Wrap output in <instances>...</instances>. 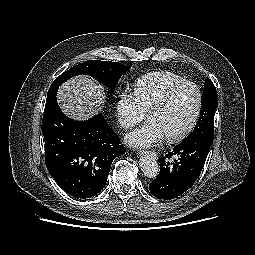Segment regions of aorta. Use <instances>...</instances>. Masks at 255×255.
<instances>
[{
    "label": "aorta",
    "instance_id": "obj_1",
    "mask_svg": "<svg viewBox=\"0 0 255 255\" xmlns=\"http://www.w3.org/2000/svg\"><path fill=\"white\" fill-rule=\"evenodd\" d=\"M139 166L143 174L148 178H156L160 171V167L151 153H147L140 158Z\"/></svg>",
    "mask_w": 255,
    "mask_h": 255
}]
</instances>
